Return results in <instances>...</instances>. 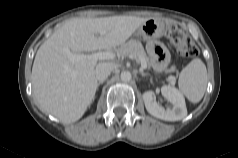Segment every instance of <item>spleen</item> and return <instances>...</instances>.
Segmentation results:
<instances>
[{"label":"spleen","mask_w":238,"mask_h":158,"mask_svg":"<svg viewBox=\"0 0 238 158\" xmlns=\"http://www.w3.org/2000/svg\"><path fill=\"white\" fill-rule=\"evenodd\" d=\"M179 90L186 98L197 103L201 101L207 86V69L201 59H193L179 75Z\"/></svg>","instance_id":"1"}]
</instances>
